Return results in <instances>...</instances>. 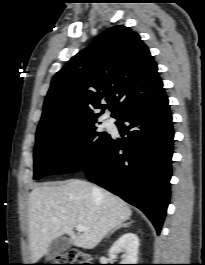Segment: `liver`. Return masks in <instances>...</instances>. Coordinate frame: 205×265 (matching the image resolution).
Instances as JSON below:
<instances>
[{
  "label": "liver",
  "mask_w": 205,
  "mask_h": 265,
  "mask_svg": "<svg viewBox=\"0 0 205 265\" xmlns=\"http://www.w3.org/2000/svg\"><path fill=\"white\" fill-rule=\"evenodd\" d=\"M131 215V209L121 198L84 180L35 187L28 199L32 262L44 256L49 244L63 234L70 237L74 246L93 249ZM77 225L86 230L76 234Z\"/></svg>",
  "instance_id": "6515ba94"
}]
</instances>
